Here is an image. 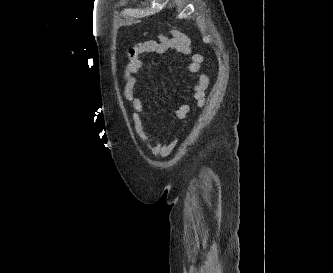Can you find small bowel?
Here are the masks:
<instances>
[{
	"label": "small bowel",
	"mask_w": 333,
	"mask_h": 273,
	"mask_svg": "<svg viewBox=\"0 0 333 273\" xmlns=\"http://www.w3.org/2000/svg\"><path fill=\"white\" fill-rule=\"evenodd\" d=\"M171 37L163 33L158 35L157 40H146L132 46L128 50V63L123 72L124 97L132 104V121L134 131L141 141L145 144L151 154L157 158L165 156L172 144L163 145L150 137L146 131L143 120V104L142 101L135 96V89L138 85L136 75L145 71V63L143 58L151 53L163 54L170 50H176L183 55L189 56L190 61L188 70L197 75V80L191 87V95L196 106L202 107L204 104L205 90L208 86V77L200 72L203 57L199 53H195L190 38L178 30L170 31ZM188 111L187 105L180 106L176 115L184 118Z\"/></svg>",
	"instance_id": "small-bowel-1"
}]
</instances>
